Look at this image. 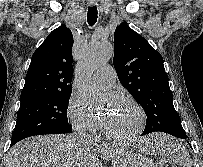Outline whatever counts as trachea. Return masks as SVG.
Listing matches in <instances>:
<instances>
[{
  "mask_svg": "<svg viewBox=\"0 0 203 167\" xmlns=\"http://www.w3.org/2000/svg\"><path fill=\"white\" fill-rule=\"evenodd\" d=\"M97 8L95 6L88 8L87 21L90 26H93L97 21Z\"/></svg>",
  "mask_w": 203,
  "mask_h": 167,
  "instance_id": "trachea-1",
  "label": "trachea"
}]
</instances>
